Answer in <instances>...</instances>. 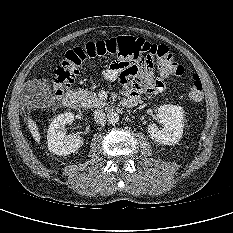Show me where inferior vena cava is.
Wrapping results in <instances>:
<instances>
[{
    "label": "inferior vena cava",
    "mask_w": 233,
    "mask_h": 233,
    "mask_svg": "<svg viewBox=\"0 0 233 233\" xmlns=\"http://www.w3.org/2000/svg\"><path fill=\"white\" fill-rule=\"evenodd\" d=\"M94 119L98 124H103L106 120V114L101 109H97L94 112Z\"/></svg>",
    "instance_id": "inferior-vena-cava-1"
}]
</instances>
